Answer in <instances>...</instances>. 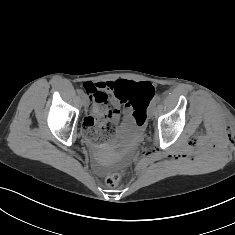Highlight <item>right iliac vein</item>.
I'll return each mask as SVG.
<instances>
[{
  "instance_id": "obj_1",
  "label": "right iliac vein",
  "mask_w": 235,
  "mask_h": 235,
  "mask_svg": "<svg viewBox=\"0 0 235 235\" xmlns=\"http://www.w3.org/2000/svg\"><path fill=\"white\" fill-rule=\"evenodd\" d=\"M83 105H84V107H88V105H89V102L86 98L83 99Z\"/></svg>"
}]
</instances>
